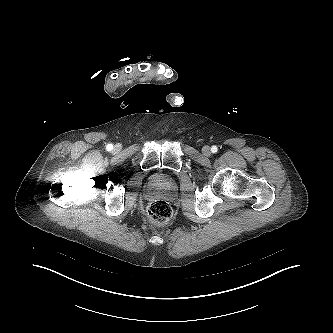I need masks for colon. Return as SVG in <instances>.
Wrapping results in <instances>:
<instances>
[{
    "label": "colon",
    "instance_id": "colon-1",
    "mask_svg": "<svg viewBox=\"0 0 333 333\" xmlns=\"http://www.w3.org/2000/svg\"><path fill=\"white\" fill-rule=\"evenodd\" d=\"M147 216L153 224L164 225L172 216V208L165 200H155L148 205Z\"/></svg>",
    "mask_w": 333,
    "mask_h": 333
}]
</instances>
